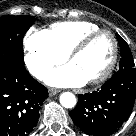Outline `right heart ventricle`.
<instances>
[{"instance_id":"right-heart-ventricle-1","label":"right heart ventricle","mask_w":136,"mask_h":136,"mask_svg":"<svg viewBox=\"0 0 136 136\" xmlns=\"http://www.w3.org/2000/svg\"><path fill=\"white\" fill-rule=\"evenodd\" d=\"M100 27L86 21H64L52 24L44 30L54 46L67 55L73 46L85 35L99 30Z\"/></svg>"}]
</instances>
